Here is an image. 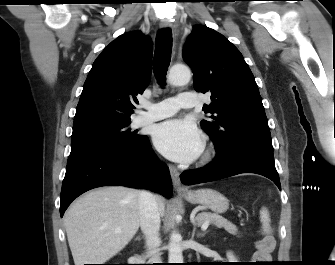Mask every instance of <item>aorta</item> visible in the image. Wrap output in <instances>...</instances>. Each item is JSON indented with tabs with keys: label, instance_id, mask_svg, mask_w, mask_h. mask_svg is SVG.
<instances>
[{
	"label": "aorta",
	"instance_id": "aorta-1",
	"mask_svg": "<svg viewBox=\"0 0 335 265\" xmlns=\"http://www.w3.org/2000/svg\"><path fill=\"white\" fill-rule=\"evenodd\" d=\"M191 79L190 69L183 65H175L170 69L168 80L172 85H185ZM181 235L175 230L170 235L168 245L169 263H183Z\"/></svg>",
	"mask_w": 335,
	"mask_h": 265
}]
</instances>
